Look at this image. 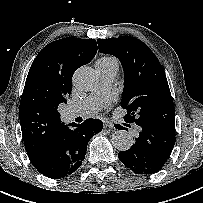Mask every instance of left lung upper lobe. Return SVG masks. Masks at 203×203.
<instances>
[{"instance_id": "1", "label": "left lung upper lobe", "mask_w": 203, "mask_h": 203, "mask_svg": "<svg viewBox=\"0 0 203 203\" xmlns=\"http://www.w3.org/2000/svg\"><path fill=\"white\" fill-rule=\"evenodd\" d=\"M99 50L116 56L124 69L121 107L138 126L175 130V109L165 72L154 53L131 36L97 39Z\"/></svg>"}]
</instances>
